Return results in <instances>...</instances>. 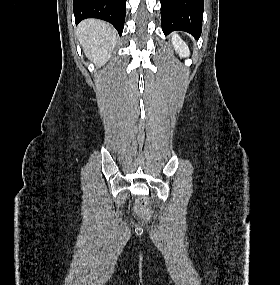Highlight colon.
Returning <instances> with one entry per match:
<instances>
[{
    "label": "colon",
    "instance_id": "obj_1",
    "mask_svg": "<svg viewBox=\"0 0 280 285\" xmlns=\"http://www.w3.org/2000/svg\"><path fill=\"white\" fill-rule=\"evenodd\" d=\"M139 205L144 212L148 213L151 208V201L148 197H142L140 198Z\"/></svg>",
    "mask_w": 280,
    "mask_h": 285
}]
</instances>
